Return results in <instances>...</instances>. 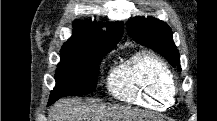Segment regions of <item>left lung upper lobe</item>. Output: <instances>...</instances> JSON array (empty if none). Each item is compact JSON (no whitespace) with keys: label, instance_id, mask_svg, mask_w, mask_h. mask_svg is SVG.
Listing matches in <instances>:
<instances>
[{"label":"left lung upper lobe","instance_id":"1","mask_svg":"<svg viewBox=\"0 0 217 121\" xmlns=\"http://www.w3.org/2000/svg\"><path fill=\"white\" fill-rule=\"evenodd\" d=\"M127 28L133 40L158 52L181 71L179 52L165 22L154 17H134L128 20Z\"/></svg>","mask_w":217,"mask_h":121}]
</instances>
